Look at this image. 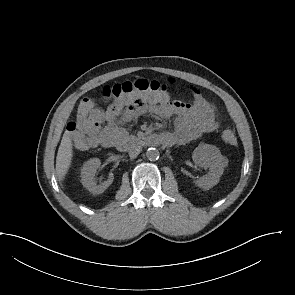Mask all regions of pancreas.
<instances>
[{"instance_id": "1", "label": "pancreas", "mask_w": 295, "mask_h": 295, "mask_svg": "<svg viewBox=\"0 0 295 295\" xmlns=\"http://www.w3.org/2000/svg\"><path fill=\"white\" fill-rule=\"evenodd\" d=\"M130 139L131 140H136V137L135 136H131Z\"/></svg>"}]
</instances>
